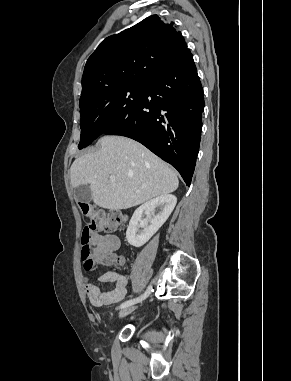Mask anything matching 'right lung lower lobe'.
I'll return each mask as SVG.
<instances>
[{
	"label": "right lung lower lobe",
	"mask_w": 291,
	"mask_h": 381,
	"mask_svg": "<svg viewBox=\"0 0 291 381\" xmlns=\"http://www.w3.org/2000/svg\"><path fill=\"white\" fill-rule=\"evenodd\" d=\"M203 110L202 85L186 48L146 83L134 114L104 134L142 143L175 167L189 186L201 140Z\"/></svg>",
	"instance_id": "98d812e1"
}]
</instances>
